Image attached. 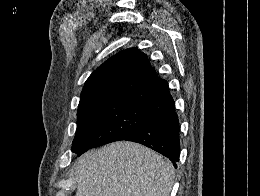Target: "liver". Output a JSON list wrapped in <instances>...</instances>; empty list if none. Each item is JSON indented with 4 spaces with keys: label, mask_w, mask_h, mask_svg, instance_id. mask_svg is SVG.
Wrapping results in <instances>:
<instances>
[{
    "label": "liver",
    "mask_w": 260,
    "mask_h": 196,
    "mask_svg": "<svg viewBox=\"0 0 260 196\" xmlns=\"http://www.w3.org/2000/svg\"><path fill=\"white\" fill-rule=\"evenodd\" d=\"M74 170L76 196H170L175 178L170 162L135 142L89 150Z\"/></svg>",
    "instance_id": "6515ba94"
}]
</instances>
